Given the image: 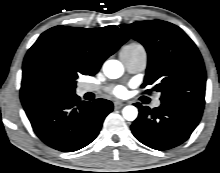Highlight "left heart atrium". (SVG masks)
<instances>
[{
  "instance_id": "39dd6f15",
  "label": "left heart atrium",
  "mask_w": 220,
  "mask_h": 173,
  "mask_svg": "<svg viewBox=\"0 0 220 173\" xmlns=\"http://www.w3.org/2000/svg\"><path fill=\"white\" fill-rule=\"evenodd\" d=\"M111 92L117 97H124L127 95L126 87L121 85L114 87Z\"/></svg>"
}]
</instances>
